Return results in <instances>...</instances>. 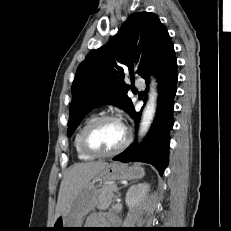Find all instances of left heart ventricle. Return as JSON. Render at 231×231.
Masks as SVG:
<instances>
[{"mask_svg": "<svg viewBox=\"0 0 231 231\" xmlns=\"http://www.w3.org/2000/svg\"><path fill=\"white\" fill-rule=\"evenodd\" d=\"M125 139V129L119 122L105 121L98 124L89 134L90 146L100 152L112 151Z\"/></svg>", "mask_w": 231, "mask_h": 231, "instance_id": "obj_1", "label": "left heart ventricle"}]
</instances>
